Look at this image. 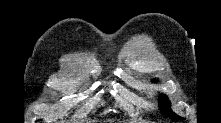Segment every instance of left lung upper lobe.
<instances>
[{"mask_svg": "<svg viewBox=\"0 0 221 123\" xmlns=\"http://www.w3.org/2000/svg\"><path fill=\"white\" fill-rule=\"evenodd\" d=\"M159 105H160V109L162 110V112L169 116L170 118L173 119H180L179 116H177L176 114H174L170 109H169V100L168 97L164 94H161L159 97Z\"/></svg>", "mask_w": 221, "mask_h": 123, "instance_id": "1", "label": "left lung upper lobe"}]
</instances>
